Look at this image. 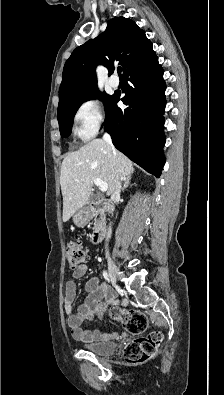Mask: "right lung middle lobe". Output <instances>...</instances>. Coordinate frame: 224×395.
<instances>
[{
	"label": "right lung middle lobe",
	"instance_id": "right-lung-middle-lobe-1",
	"mask_svg": "<svg viewBox=\"0 0 224 395\" xmlns=\"http://www.w3.org/2000/svg\"><path fill=\"white\" fill-rule=\"evenodd\" d=\"M94 98H99L103 100L106 110L113 98V95L110 96L105 92L101 93L98 88L95 87L85 93L79 94L78 96L68 101L64 106L58 108L57 119L59 122V130L62 137H68L70 135L73 118L80 105L83 102Z\"/></svg>",
	"mask_w": 224,
	"mask_h": 395
}]
</instances>
